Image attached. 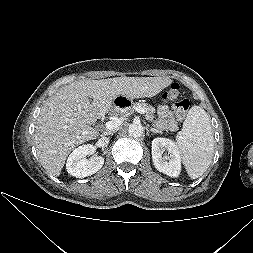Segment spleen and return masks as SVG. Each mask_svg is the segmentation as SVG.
Here are the masks:
<instances>
[{
  "mask_svg": "<svg viewBox=\"0 0 253 253\" xmlns=\"http://www.w3.org/2000/svg\"><path fill=\"white\" fill-rule=\"evenodd\" d=\"M176 144L191 179L203 175L214 154L210 116L200 106H193L176 136Z\"/></svg>",
  "mask_w": 253,
  "mask_h": 253,
  "instance_id": "spleen-1",
  "label": "spleen"
}]
</instances>
